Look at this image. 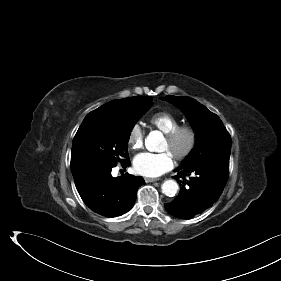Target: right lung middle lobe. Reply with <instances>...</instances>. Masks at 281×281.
<instances>
[{"instance_id": "1", "label": "right lung middle lobe", "mask_w": 281, "mask_h": 281, "mask_svg": "<svg viewBox=\"0 0 281 281\" xmlns=\"http://www.w3.org/2000/svg\"><path fill=\"white\" fill-rule=\"evenodd\" d=\"M150 97H140L121 111L87 115L72 143L71 170L129 160L128 140L137 120L152 106Z\"/></svg>"}]
</instances>
